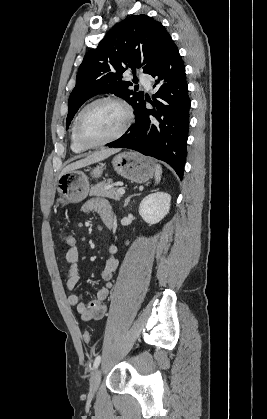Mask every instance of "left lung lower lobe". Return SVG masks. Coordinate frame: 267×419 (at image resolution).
<instances>
[{
  "mask_svg": "<svg viewBox=\"0 0 267 419\" xmlns=\"http://www.w3.org/2000/svg\"><path fill=\"white\" fill-rule=\"evenodd\" d=\"M156 79L152 109L146 97L135 107V124L109 147L136 150L168 163L183 178L189 131V109L185 65L173 40L157 65L148 73Z\"/></svg>",
  "mask_w": 267,
  "mask_h": 419,
  "instance_id": "obj_1",
  "label": "left lung lower lobe"
}]
</instances>
